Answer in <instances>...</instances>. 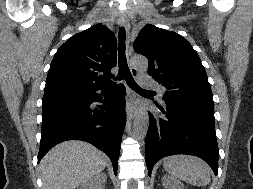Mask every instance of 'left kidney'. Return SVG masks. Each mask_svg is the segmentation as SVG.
Masks as SVG:
<instances>
[{
  "mask_svg": "<svg viewBox=\"0 0 253 189\" xmlns=\"http://www.w3.org/2000/svg\"><path fill=\"white\" fill-rule=\"evenodd\" d=\"M163 186L165 189H184V186L181 182H179L169 176H164Z\"/></svg>",
  "mask_w": 253,
  "mask_h": 189,
  "instance_id": "left-kidney-1",
  "label": "left kidney"
}]
</instances>
